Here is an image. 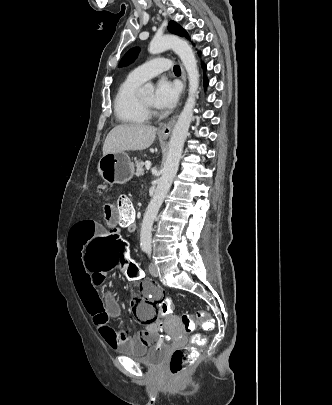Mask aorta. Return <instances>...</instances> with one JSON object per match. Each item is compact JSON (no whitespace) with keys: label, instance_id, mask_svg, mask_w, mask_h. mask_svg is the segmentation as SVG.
<instances>
[{"label":"aorta","instance_id":"aorta-1","mask_svg":"<svg viewBox=\"0 0 332 405\" xmlns=\"http://www.w3.org/2000/svg\"><path fill=\"white\" fill-rule=\"evenodd\" d=\"M167 49H172L180 57L189 80V93L182 112L173 128L169 143L167 158L162 170V175L158 180L155 194L151 199L144 215L141 232L140 245L150 246L152 241V226L158 211L172 185L173 179L178 171L183 146L188 134L189 126L193 117V109L196 103V93L199 86V72L197 60L191 46L181 38L173 35L155 36L150 42L148 51L155 55ZM150 85H145L144 89H150Z\"/></svg>","mask_w":332,"mask_h":405}]
</instances>
